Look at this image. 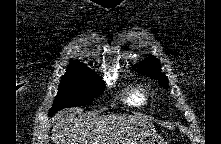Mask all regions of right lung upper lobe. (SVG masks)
I'll use <instances>...</instances> for the list:
<instances>
[{
    "label": "right lung upper lobe",
    "instance_id": "obj_1",
    "mask_svg": "<svg viewBox=\"0 0 221 144\" xmlns=\"http://www.w3.org/2000/svg\"><path fill=\"white\" fill-rule=\"evenodd\" d=\"M83 67H86L85 65H83V63L77 60H72L68 68H83Z\"/></svg>",
    "mask_w": 221,
    "mask_h": 144
}]
</instances>
